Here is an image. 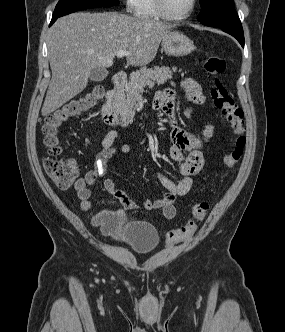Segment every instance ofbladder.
Masks as SVG:
<instances>
[{"mask_svg": "<svg viewBox=\"0 0 285 332\" xmlns=\"http://www.w3.org/2000/svg\"><path fill=\"white\" fill-rule=\"evenodd\" d=\"M100 228L103 234L140 255L152 252L160 242L159 233L151 223L128 220L123 212L105 214Z\"/></svg>", "mask_w": 285, "mask_h": 332, "instance_id": "obj_1", "label": "bladder"}]
</instances>
